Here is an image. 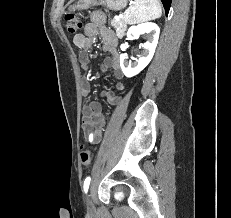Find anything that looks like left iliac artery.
Listing matches in <instances>:
<instances>
[{"label": "left iliac artery", "instance_id": "1", "mask_svg": "<svg viewBox=\"0 0 231 218\" xmlns=\"http://www.w3.org/2000/svg\"><path fill=\"white\" fill-rule=\"evenodd\" d=\"M89 141H90V142L93 141V134H90V135H89ZM90 180H91V178H90V177H87V178L85 179V181H84V186H83V188H84L85 193H87V191H88L89 184H90Z\"/></svg>", "mask_w": 231, "mask_h": 218}]
</instances>
